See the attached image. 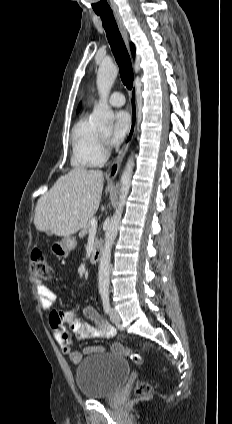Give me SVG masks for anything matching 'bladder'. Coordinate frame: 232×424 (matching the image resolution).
Listing matches in <instances>:
<instances>
[{
  "label": "bladder",
  "mask_w": 232,
  "mask_h": 424,
  "mask_svg": "<svg viewBox=\"0 0 232 424\" xmlns=\"http://www.w3.org/2000/svg\"><path fill=\"white\" fill-rule=\"evenodd\" d=\"M131 375L128 361L107 353L84 358L75 371L80 394L87 399H105L115 395Z\"/></svg>",
  "instance_id": "1"
}]
</instances>
